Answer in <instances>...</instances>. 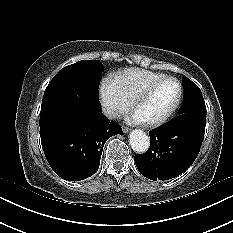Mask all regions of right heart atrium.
<instances>
[{"label": "right heart atrium", "instance_id": "obj_1", "mask_svg": "<svg viewBox=\"0 0 233 233\" xmlns=\"http://www.w3.org/2000/svg\"><path fill=\"white\" fill-rule=\"evenodd\" d=\"M99 94L103 111L109 118H118L130 108V99L111 77H106L101 81Z\"/></svg>", "mask_w": 233, "mask_h": 233}]
</instances>
